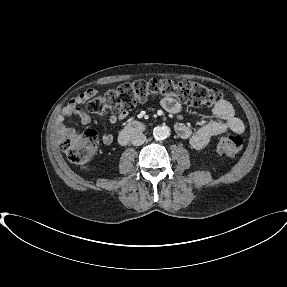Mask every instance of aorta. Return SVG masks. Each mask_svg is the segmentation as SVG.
<instances>
[{"label": "aorta", "mask_w": 287, "mask_h": 287, "mask_svg": "<svg viewBox=\"0 0 287 287\" xmlns=\"http://www.w3.org/2000/svg\"><path fill=\"white\" fill-rule=\"evenodd\" d=\"M170 134V130L167 126H156L153 129V136L157 140H163Z\"/></svg>", "instance_id": "obj_1"}]
</instances>
